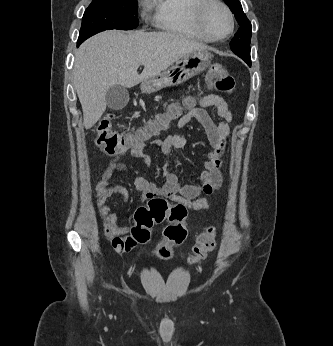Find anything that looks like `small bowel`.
Listing matches in <instances>:
<instances>
[{
	"mask_svg": "<svg viewBox=\"0 0 333 346\" xmlns=\"http://www.w3.org/2000/svg\"><path fill=\"white\" fill-rule=\"evenodd\" d=\"M195 103L198 105L197 107L191 106L185 115L177 119L176 128H184L193 119L197 120L204 128L210 151L207 159L203 162L204 170L200 175V183L182 184L167 161L161 169V175L165 179L163 185L158 186L143 176L136 178L135 187L140 191L143 202L161 196L168 198L174 204L184 206L186 210L201 211L208 209L210 202L206 197H200V194L211 195L221 187L223 179L220 167L225 150V141L231 134L229 126L232 119L231 110L220 96L213 93L203 95ZM207 107L215 109L219 120L215 121L209 115L205 110ZM185 143L184 136L175 132L164 140H154L151 147L163 156L169 157L173 149L182 148ZM129 156L146 165H150L152 161L151 154L146 151L145 145L130 151ZM120 159L121 156H115L103 172L97 184L96 205L104 235L109 240L112 250L115 254H132L136 246V236L131 231L133 226L120 223L112 207L107 204L108 199L116 194L122 197L123 202L129 199V191L126 187L120 184L111 185L115 174L128 171V167L121 163Z\"/></svg>",
	"mask_w": 333,
	"mask_h": 346,
	"instance_id": "c3829d8e",
	"label": "small bowel"
}]
</instances>
